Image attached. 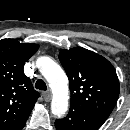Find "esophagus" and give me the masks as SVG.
<instances>
[{
    "mask_svg": "<svg viewBox=\"0 0 130 130\" xmlns=\"http://www.w3.org/2000/svg\"><path fill=\"white\" fill-rule=\"evenodd\" d=\"M43 98L46 102L51 100V93L49 91L43 93Z\"/></svg>",
    "mask_w": 130,
    "mask_h": 130,
    "instance_id": "esophagus-1",
    "label": "esophagus"
}]
</instances>
